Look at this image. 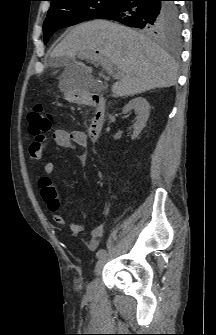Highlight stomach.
Here are the masks:
<instances>
[{
	"label": "stomach",
	"mask_w": 216,
	"mask_h": 335,
	"mask_svg": "<svg viewBox=\"0 0 216 335\" xmlns=\"http://www.w3.org/2000/svg\"><path fill=\"white\" fill-rule=\"evenodd\" d=\"M60 87L64 89V97L71 103H78L82 100L84 92L79 88H72L68 85L67 80L62 78L60 81Z\"/></svg>",
	"instance_id": "obj_1"
}]
</instances>
